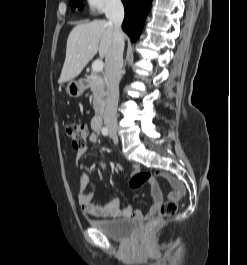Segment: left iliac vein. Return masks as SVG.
<instances>
[{
  "mask_svg": "<svg viewBox=\"0 0 247 265\" xmlns=\"http://www.w3.org/2000/svg\"><path fill=\"white\" fill-rule=\"evenodd\" d=\"M111 138L113 139L114 143L117 144L118 143V137L116 134L111 133Z\"/></svg>",
  "mask_w": 247,
  "mask_h": 265,
  "instance_id": "left-iliac-vein-1",
  "label": "left iliac vein"
}]
</instances>
